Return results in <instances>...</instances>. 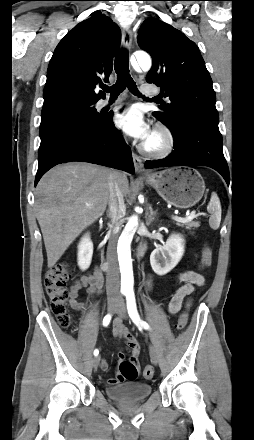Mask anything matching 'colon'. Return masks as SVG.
<instances>
[{
	"mask_svg": "<svg viewBox=\"0 0 254 440\" xmlns=\"http://www.w3.org/2000/svg\"><path fill=\"white\" fill-rule=\"evenodd\" d=\"M213 260V252L211 248L204 244L202 246V264L209 267ZM72 276V271L65 263H59L46 272L44 278V287L50 301L52 312L56 315L58 323L62 327H68L70 317L67 313V305L70 299V292L67 289V282ZM188 321V314L183 311L176 325L178 330H183ZM119 371L125 381L132 382L138 377V367L131 360H124L119 365ZM154 370L151 366H146L144 376L148 379L152 378Z\"/></svg>",
	"mask_w": 254,
	"mask_h": 440,
	"instance_id": "colon-1",
	"label": "colon"
}]
</instances>
